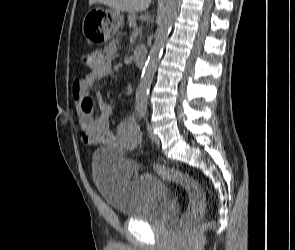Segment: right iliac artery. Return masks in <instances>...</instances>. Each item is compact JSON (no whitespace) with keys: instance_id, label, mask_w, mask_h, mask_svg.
I'll return each mask as SVG.
<instances>
[{"instance_id":"82829eb1","label":"right iliac artery","mask_w":295,"mask_h":250,"mask_svg":"<svg viewBox=\"0 0 295 250\" xmlns=\"http://www.w3.org/2000/svg\"><path fill=\"white\" fill-rule=\"evenodd\" d=\"M143 116V112L140 110L139 111V117L141 118Z\"/></svg>"}]
</instances>
